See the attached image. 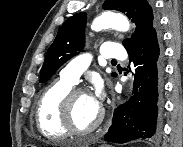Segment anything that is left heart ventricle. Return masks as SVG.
<instances>
[{
    "mask_svg": "<svg viewBox=\"0 0 183 147\" xmlns=\"http://www.w3.org/2000/svg\"><path fill=\"white\" fill-rule=\"evenodd\" d=\"M99 114V105L90 94L79 95L73 103V121L79 129L88 128Z\"/></svg>",
    "mask_w": 183,
    "mask_h": 147,
    "instance_id": "left-heart-ventricle-1",
    "label": "left heart ventricle"
}]
</instances>
